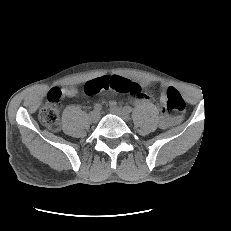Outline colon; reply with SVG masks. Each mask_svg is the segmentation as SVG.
Wrapping results in <instances>:
<instances>
[{"label": "colon", "mask_w": 231, "mask_h": 231, "mask_svg": "<svg viewBox=\"0 0 231 231\" xmlns=\"http://www.w3.org/2000/svg\"><path fill=\"white\" fill-rule=\"evenodd\" d=\"M105 90H113L115 92L126 93L133 96L138 94L141 88L136 83L118 76L95 79L85 85V91L90 95H95ZM60 99L61 90L59 88L51 89L48 93L46 103L39 112L41 123L52 131H57L60 128ZM162 111L173 112L176 116H180L184 113L185 102L175 88L170 87L166 90L165 105L162 108Z\"/></svg>", "instance_id": "5ec220e1"}]
</instances>
